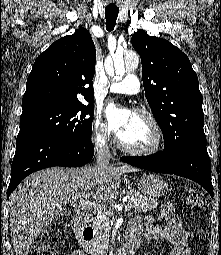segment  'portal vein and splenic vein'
I'll return each instance as SVG.
<instances>
[{
  "label": "portal vein and splenic vein",
  "mask_w": 221,
  "mask_h": 255,
  "mask_svg": "<svg viewBox=\"0 0 221 255\" xmlns=\"http://www.w3.org/2000/svg\"><path fill=\"white\" fill-rule=\"evenodd\" d=\"M79 205L82 208L91 209V210L97 211L98 213L106 211L104 206L98 205V204L93 203V202H89L87 200H81ZM132 207L133 206L131 204H127L124 208V211L128 212L132 209Z\"/></svg>",
  "instance_id": "1"
}]
</instances>
